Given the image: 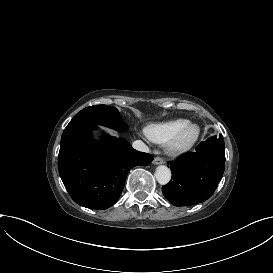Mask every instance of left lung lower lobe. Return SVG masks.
Returning a JSON list of instances; mask_svg holds the SVG:
<instances>
[{"instance_id":"left-lung-lower-lobe-1","label":"left lung lower lobe","mask_w":273,"mask_h":273,"mask_svg":"<svg viewBox=\"0 0 273 273\" xmlns=\"http://www.w3.org/2000/svg\"><path fill=\"white\" fill-rule=\"evenodd\" d=\"M171 181L162 187L165 198L174 206L204 202L215 191L225 169L222 134L212 136L196 147V152L168 161Z\"/></svg>"}]
</instances>
